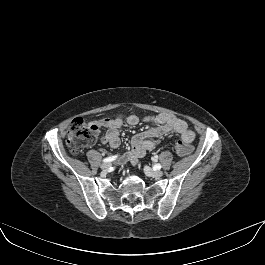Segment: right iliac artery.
Instances as JSON below:
<instances>
[{
  "mask_svg": "<svg viewBox=\"0 0 265 265\" xmlns=\"http://www.w3.org/2000/svg\"><path fill=\"white\" fill-rule=\"evenodd\" d=\"M117 158V156H111V157H107L103 160L104 163H107V162H111L113 160H115Z\"/></svg>",
  "mask_w": 265,
  "mask_h": 265,
  "instance_id": "1",
  "label": "right iliac artery"
}]
</instances>
